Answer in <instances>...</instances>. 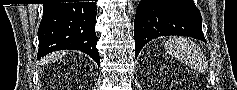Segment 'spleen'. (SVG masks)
Here are the masks:
<instances>
[{
    "mask_svg": "<svg viewBox=\"0 0 237 90\" xmlns=\"http://www.w3.org/2000/svg\"><path fill=\"white\" fill-rule=\"evenodd\" d=\"M165 50L177 60L189 62L190 66H198L204 60L196 44L189 38H170L165 44Z\"/></svg>",
    "mask_w": 237,
    "mask_h": 90,
    "instance_id": "3e777b00",
    "label": "spleen"
}]
</instances>
